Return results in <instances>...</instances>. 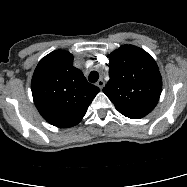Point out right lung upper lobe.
I'll use <instances>...</instances> for the list:
<instances>
[{"instance_id":"1","label":"right lung upper lobe","mask_w":187,"mask_h":187,"mask_svg":"<svg viewBox=\"0 0 187 187\" xmlns=\"http://www.w3.org/2000/svg\"><path fill=\"white\" fill-rule=\"evenodd\" d=\"M34 103L41 116L59 128L78 124L99 88L88 83L73 66V56L56 50L38 63L31 83Z\"/></svg>"}]
</instances>
